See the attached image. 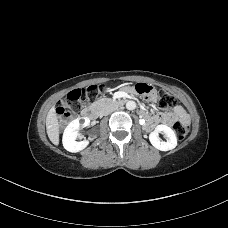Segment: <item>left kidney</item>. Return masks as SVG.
<instances>
[{"label": "left kidney", "mask_w": 228, "mask_h": 228, "mask_svg": "<svg viewBox=\"0 0 228 228\" xmlns=\"http://www.w3.org/2000/svg\"><path fill=\"white\" fill-rule=\"evenodd\" d=\"M159 133H164L166 142L159 138ZM151 144L161 151L172 150L177 146V138L175 132L167 125H158L153 132L149 134Z\"/></svg>", "instance_id": "left-kidney-1"}]
</instances>
